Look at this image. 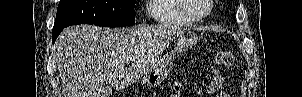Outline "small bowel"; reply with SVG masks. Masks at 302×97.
<instances>
[{"instance_id": "small-bowel-1", "label": "small bowel", "mask_w": 302, "mask_h": 97, "mask_svg": "<svg viewBox=\"0 0 302 97\" xmlns=\"http://www.w3.org/2000/svg\"><path fill=\"white\" fill-rule=\"evenodd\" d=\"M181 91V85L179 83H176L171 91V97H179ZM217 97H227L225 93H220Z\"/></svg>"}]
</instances>
